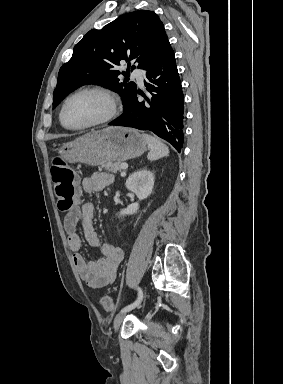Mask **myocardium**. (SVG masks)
<instances>
[{"label": "myocardium", "mask_w": 283, "mask_h": 384, "mask_svg": "<svg viewBox=\"0 0 283 384\" xmlns=\"http://www.w3.org/2000/svg\"><path fill=\"white\" fill-rule=\"evenodd\" d=\"M85 93H92V94L99 95L106 101L107 110L105 114L99 117L98 119L82 126H78V127L67 126L64 122V111H65L66 105L73 97L81 94H85ZM117 113H118L117 100L109 89L101 86H87L72 92L65 98L60 110L59 118L62 126L65 129L70 131H83V130H87V129L111 122L116 117Z\"/></svg>", "instance_id": "f54148a6"}]
</instances>
